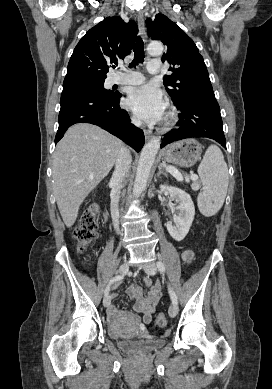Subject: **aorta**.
Wrapping results in <instances>:
<instances>
[{"mask_svg":"<svg viewBox=\"0 0 272 389\" xmlns=\"http://www.w3.org/2000/svg\"><path fill=\"white\" fill-rule=\"evenodd\" d=\"M147 51L152 56H159L163 53V45L160 42H151L147 46ZM160 143V138H152L141 151L133 186L134 196H139L146 189L151 167L160 148Z\"/></svg>","mask_w":272,"mask_h":389,"instance_id":"1","label":"aorta"}]
</instances>
